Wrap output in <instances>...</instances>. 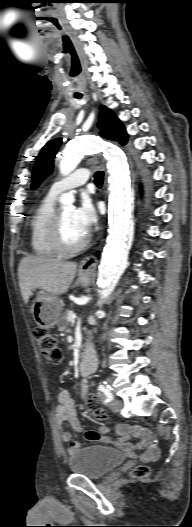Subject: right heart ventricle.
Wrapping results in <instances>:
<instances>
[{
	"label": "right heart ventricle",
	"mask_w": 192,
	"mask_h": 527,
	"mask_svg": "<svg viewBox=\"0 0 192 527\" xmlns=\"http://www.w3.org/2000/svg\"><path fill=\"white\" fill-rule=\"evenodd\" d=\"M55 197L47 195L36 207L30 219V240L33 252L40 257H54L58 251L52 242Z\"/></svg>",
	"instance_id": "right-heart-ventricle-1"
}]
</instances>
